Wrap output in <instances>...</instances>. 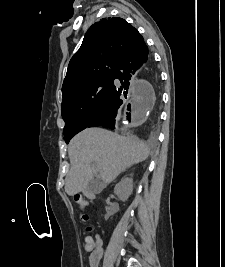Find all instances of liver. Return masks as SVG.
<instances>
[{
  "label": "liver",
  "instance_id": "1",
  "mask_svg": "<svg viewBox=\"0 0 225 267\" xmlns=\"http://www.w3.org/2000/svg\"><path fill=\"white\" fill-rule=\"evenodd\" d=\"M68 154L71 168L66 176L65 191L73 196L88 188L95 172L92 163H96V172L108 184L126 168L146 160L149 148L134 136L87 128L71 140Z\"/></svg>",
  "mask_w": 225,
  "mask_h": 267
}]
</instances>
